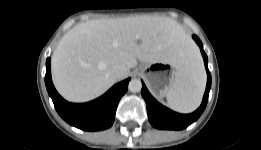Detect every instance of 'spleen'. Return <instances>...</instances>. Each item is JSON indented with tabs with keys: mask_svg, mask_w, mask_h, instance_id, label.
I'll return each mask as SVG.
<instances>
[{
	"mask_svg": "<svg viewBox=\"0 0 261 150\" xmlns=\"http://www.w3.org/2000/svg\"><path fill=\"white\" fill-rule=\"evenodd\" d=\"M205 85V71L195 49L190 53L189 63L178 72L176 81L166 93L169 106L177 112H193L201 103Z\"/></svg>",
	"mask_w": 261,
	"mask_h": 150,
	"instance_id": "1",
	"label": "spleen"
}]
</instances>
